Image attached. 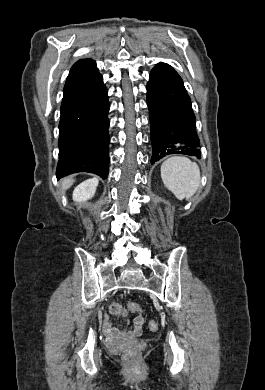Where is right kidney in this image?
Returning a JSON list of instances; mask_svg holds the SVG:
<instances>
[{"label": "right kidney", "mask_w": 265, "mask_h": 390, "mask_svg": "<svg viewBox=\"0 0 265 390\" xmlns=\"http://www.w3.org/2000/svg\"><path fill=\"white\" fill-rule=\"evenodd\" d=\"M98 186V178L88 179L79 184L73 191V200L76 202H84L92 198Z\"/></svg>", "instance_id": "1"}]
</instances>
